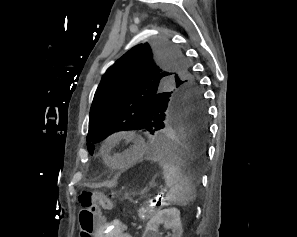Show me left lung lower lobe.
<instances>
[{
	"label": "left lung lower lobe",
	"instance_id": "obj_1",
	"mask_svg": "<svg viewBox=\"0 0 297 237\" xmlns=\"http://www.w3.org/2000/svg\"><path fill=\"white\" fill-rule=\"evenodd\" d=\"M209 132L205 105L177 100L147 142L144 155L166 157L195 168L204 159Z\"/></svg>",
	"mask_w": 297,
	"mask_h": 237
}]
</instances>
